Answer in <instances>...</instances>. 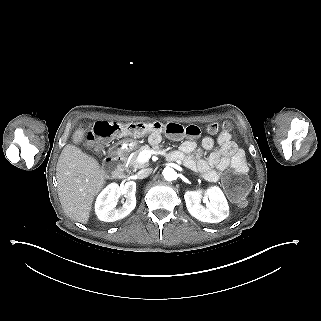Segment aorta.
<instances>
[{
  "label": "aorta",
  "mask_w": 321,
  "mask_h": 321,
  "mask_svg": "<svg viewBox=\"0 0 321 321\" xmlns=\"http://www.w3.org/2000/svg\"><path fill=\"white\" fill-rule=\"evenodd\" d=\"M163 176H164L165 180L172 181L176 178V172L171 167H165L163 170Z\"/></svg>",
  "instance_id": "obj_1"
}]
</instances>
